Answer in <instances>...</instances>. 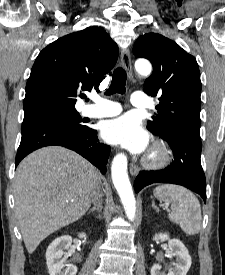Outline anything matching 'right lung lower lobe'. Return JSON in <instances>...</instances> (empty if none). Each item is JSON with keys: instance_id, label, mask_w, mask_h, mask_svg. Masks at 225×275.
Returning <instances> with one entry per match:
<instances>
[{"instance_id": "obj_1", "label": "right lung lower lobe", "mask_w": 225, "mask_h": 275, "mask_svg": "<svg viewBox=\"0 0 225 275\" xmlns=\"http://www.w3.org/2000/svg\"><path fill=\"white\" fill-rule=\"evenodd\" d=\"M63 146L89 160L106 173L110 146L102 144L92 128L75 129L49 119H31L22 123V138L15 166L32 151L45 146Z\"/></svg>"}]
</instances>
